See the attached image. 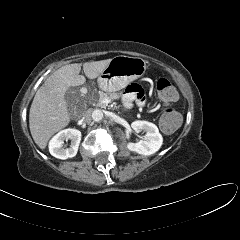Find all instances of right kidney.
<instances>
[{
  "mask_svg": "<svg viewBox=\"0 0 240 240\" xmlns=\"http://www.w3.org/2000/svg\"><path fill=\"white\" fill-rule=\"evenodd\" d=\"M71 140L69 148L64 149V140ZM81 141V132L77 129H65L56 134L49 142V152L58 159L72 158L77 154Z\"/></svg>",
  "mask_w": 240,
  "mask_h": 240,
  "instance_id": "right-kidney-1",
  "label": "right kidney"
}]
</instances>
